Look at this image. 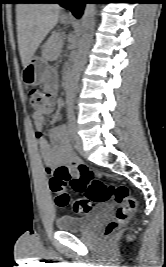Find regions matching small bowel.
I'll return each mask as SVG.
<instances>
[{"label": "small bowel", "mask_w": 166, "mask_h": 267, "mask_svg": "<svg viewBox=\"0 0 166 267\" xmlns=\"http://www.w3.org/2000/svg\"><path fill=\"white\" fill-rule=\"evenodd\" d=\"M48 90H55L53 85H49ZM51 109H46L33 114L34 128L40 156L46 165V172L50 174L54 167H71L78 162V158L73 152L68 139L67 127L65 125L52 128L49 131L50 141L43 134V122L45 115L51 113Z\"/></svg>", "instance_id": "obj_1"}]
</instances>
